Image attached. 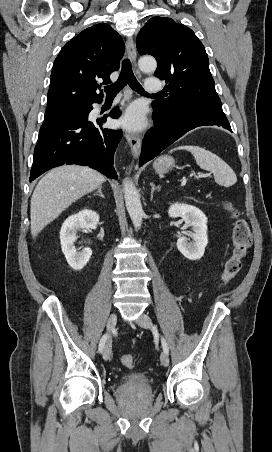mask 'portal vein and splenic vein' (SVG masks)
I'll list each match as a JSON object with an SVG mask.
<instances>
[{"label":"portal vein and splenic vein","instance_id":"portal-vein-and-splenic-vein-1","mask_svg":"<svg viewBox=\"0 0 272 452\" xmlns=\"http://www.w3.org/2000/svg\"><path fill=\"white\" fill-rule=\"evenodd\" d=\"M207 176H209V174H199L198 176H196V178L198 179V178L207 177ZM185 182H186V180L184 179L182 184H184Z\"/></svg>","mask_w":272,"mask_h":452}]
</instances>
